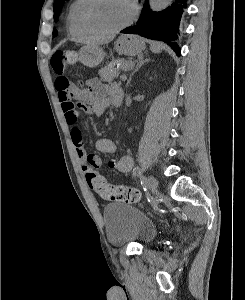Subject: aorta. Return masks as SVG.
Segmentation results:
<instances>
[{
	"label": "aorta",
	"mask_w": 245,
	"mask_h": 300,
	"mask_svg": "<svg viewBox=\"0 0 245 300\" xmlns=\"http://www.w3.org/2000/svg\"><path fill=\"white\" fill-rule=\"evenodd\" d=\"M172 0H149L150 8L152 11H161L166 8Z\"/></svg>",
	"instance_id": "762f6f07"
}]
</instances>
